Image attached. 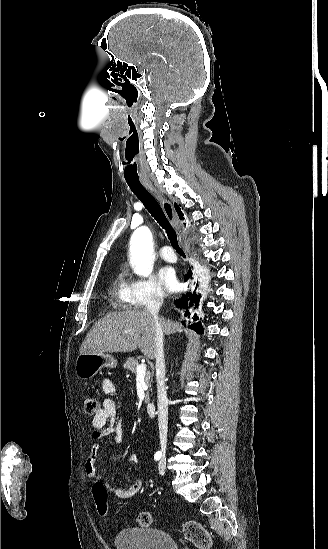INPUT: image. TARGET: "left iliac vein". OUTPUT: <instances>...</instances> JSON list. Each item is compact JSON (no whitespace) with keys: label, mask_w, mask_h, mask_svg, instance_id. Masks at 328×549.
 <instances>
[{"label":"left iliac vein","mask_w":328,"mask_h":549,"mask_svg":"<svg viewBox=\"0 0 328 549\" xmlns=\"http://www.w3.org/2000/svg\"><path fill=\"white\" fill-rule=\"evenodd\" d=\"M158 468H159V473H160L161 475H163L164 472H165V470H166V463H165V460H164V459H162V460L159 462V467H158Z\"/></svg>","instance_id":"1"}]
</instances>
